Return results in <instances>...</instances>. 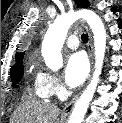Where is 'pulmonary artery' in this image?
Returning <instances> with one entry per match:
<instances>
[{"mask_svg":"<svg viewBox=\"0 0 122 123\" xmlns=\"http://www.w3.org/2000/svg\"><path fill=\"white\" fill-rule=\"evenodd\" d=\"M66 45L70 49H76L79 45L78 38L75 35H71L66 40Z\"/></svg>","mask_w":122,"mask_h":123,"instance_id":"1","label":"pulmonary artery"}]
</instances>
